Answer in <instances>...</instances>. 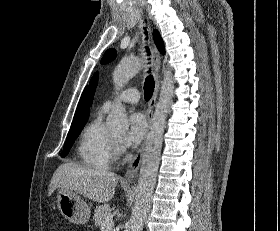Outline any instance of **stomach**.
<instances>
[{"label":"stomach","mask_w":280,"mask_h":231,"mask_svg":"<svg viewBox=\"0 0 280 231\" xmlns=\"http://www.w3.org/2000/svg\"><path fill=\"white\" fill-rule=\"evenodd\" d=\"M57 205L62 215L72 223H87L90 219L89 205L74 191L58 189Z\"/></svg>","instance_id":"obj_1"}]
</instances>
